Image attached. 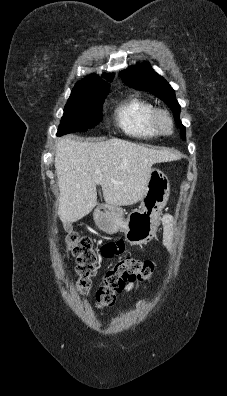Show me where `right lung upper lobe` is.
Returning a JSON list of instances; mask_svg holds the SVG:
<instances>
[{
  "label": "right lung upper lobe",
  "instance_id": "cb5924a9",
  "mask_svg": "<svg viewBox=\"0 0 227 396\" xmlns=\"http://www.w3.org/2000/svg\"><path fill=\"white\" fill-rule=\"evenodd\" d=\"M108 80H112V75L105 76ZM75 87H90L98 90H109L110 85L103 82L98 75H89L80 82L76 83Z\"/></svg>",
  "mask_w": 227,
  "mask_h": 396
}]
</instances>
